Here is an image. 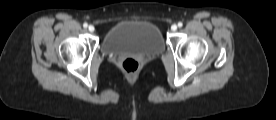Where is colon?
<instances>
[{"label":"colon","mask_w":276,"mask_h":120,"mask_svg":"<svg viewBox=\"0 0 276 120\" xmlns=\"http://www.w3.org/2000/svg\"><path fill=\"white\" fill-rule=\"evenodd\" d=\"M122 70L127 76L134 77L138 73L139 62L133 57H128L122 62Z\"/></svg>","instance_id":"1"}]
</instances>
